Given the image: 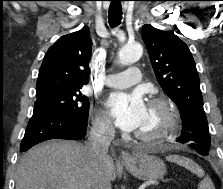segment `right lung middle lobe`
I'll list each match as a JSON object with an SVG mask.
<instances>
[{"label": "right lung middle lobe", "instance_id": "dd1d6c3e", "mask_svg": "<svg viewBox=\"0 0 223 189\" xmlns=\"http://www.w3.org/2000/svg\"><path fill=\"white\" fill-rule=\"evenodd\" d=\"M81 88L51 89L37 92L35 108L65 112L79 120L87 119L89 100L81 93Z\"/></svg>", "mask_w": 223, "mask_h": 189}]
</instances>
